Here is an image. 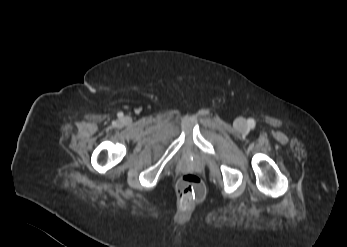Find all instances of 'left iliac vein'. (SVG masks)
<instances>
[{"mask_svg": "<svg viewBox=\"0 0 347 247\" xmlns=\"http://www.w3.org/2000/svg\"><path fill=\"white\" fill-rule=\"evenodd\" d=\"M235 126H236L237 128H243V127H245V126H246V120H245L244 118H242V117L237 118V119L235 120Z\"/></svg>", "mask_w": 347, "mask_h": 247, "instance_id": "4c4485c4", "label": "left iliac vein"}]
</instances>
